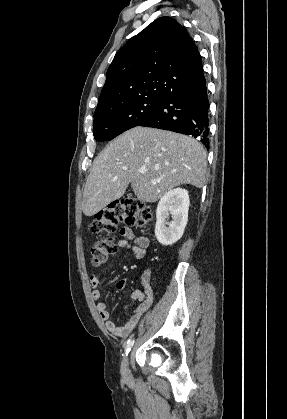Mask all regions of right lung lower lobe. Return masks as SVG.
<instances>
[{
  "instance_id": "obj_1",
  "label": "right lung lower lobe",
  "mask_w": 287,
  "mask_h": 419,
  "mask_svg": "<svg viewBox=\"0 0 287 419\" xmlns=\"http://www.w3.org/2000/svg\"><path fill=\"white\" fill-rule=\"evenodd\" d=\"M209 105L204 80L170 93L139 126L192 135L209 149Z\"/></svg>"
}]
</instances>
